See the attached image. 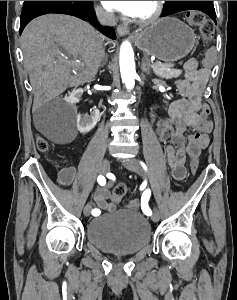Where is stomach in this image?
Instances as JSON below:
<instances>
[{"label": "stomach", "instance_id": "1", "mask_svg": "<svg viewBox=\"0 0 237 300\" xmlns=\"http://www.w3.org/2000/svg\"><path fill=\"white\" fill-rule=\"evenodd\" d=\"M195 41L196 35L191 27L174 17L156 19L146 29L135 33L136 47L140 51L166 63L186 57Z\"/></svg>", "mask_w": 237, "mask_h": 300}]
</instances>
